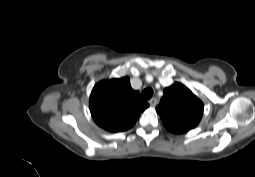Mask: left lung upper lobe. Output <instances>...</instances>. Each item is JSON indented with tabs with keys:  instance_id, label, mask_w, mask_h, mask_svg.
Instances as JSON below:
<instances>
[{
	"instance_id": "5c2ea615",
	"label": "left lung upper lobe",
	"mask_w": 255,
	"mask_h": 177,
	"mask_svg": "<svg viewBox=\"0 0 255 177\" xmlns=\"http://www.w3.org/2000/svg\"><path fill=\"white\" fill-rule=\"evenodd\" d=\"M203 103L179 82L164 89L156 111L165 128L174 134L186 133L195 128L203 114Z\"/></svg>"
}]
</instances>
